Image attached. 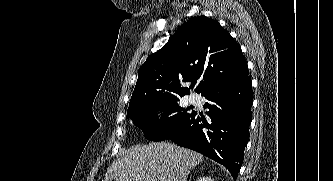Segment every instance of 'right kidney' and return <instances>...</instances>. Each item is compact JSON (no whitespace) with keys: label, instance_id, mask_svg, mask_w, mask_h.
Wrapping results in <instances>:
<instances>
[{"label":"right kidney","instance_id":"ca27d5eb","mask_svg":"<svg viewBox=\"0 0 333 181\" xmlns=\"http://www.w3.org/2000/svg\"><path fill=\"white\" fill-rule=\"evenodd\" d=\"M196 181H214L210 177H200Z\"/></svg>","mask_w":333,"mask_h":181}]
</instances>
